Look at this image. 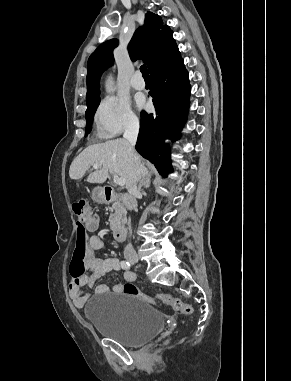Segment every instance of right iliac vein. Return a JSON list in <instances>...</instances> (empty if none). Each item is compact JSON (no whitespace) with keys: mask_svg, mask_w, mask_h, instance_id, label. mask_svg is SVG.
I'll list each match as a JSON object with an SVG mask.
<instances>
[{"mask_svg":"<svg viewBox=\"0 0 291 381\" xmlns=\"http://www.w3.org/2000/svg\"><path fill=\"white\" fill-rule=\"evenodd\" d=\"M126 259H127L129 262L134 263V264H136V263L139 262V258H138V256H137L136 254H134V253L127 254V255H126Z\"/></svg>","mask_w":291,"mask_h":381,"instance_id":"63e3f726","label":"right iliac vein"}]
</instances>
